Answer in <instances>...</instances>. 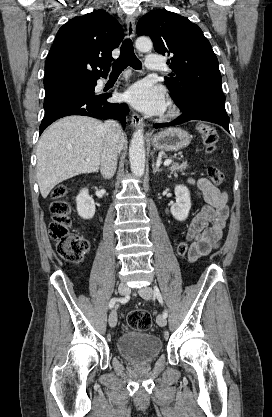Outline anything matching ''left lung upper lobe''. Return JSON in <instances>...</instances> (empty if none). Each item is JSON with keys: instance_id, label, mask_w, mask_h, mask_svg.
<instances>
[{"instance_id": "left-lung-upper-lobe-1", "label": "left lung upper lobe", "mask_w": 272, "mask_h": 417, "mask_svg": "<svg viewBox=\"0 0 272 417\" xmlns=\"http://www.w3.org/2000/svg\"><path fill=\"white\" fill-rule=\"evenodd\" d=\"M136 33L150 36L155 50L171 57L167 64L173 73L164 83L176 104L193 99L225 111L217 57L196 24L176 13L155 10L139 20Z\"/></svg>"}]
</instances>
